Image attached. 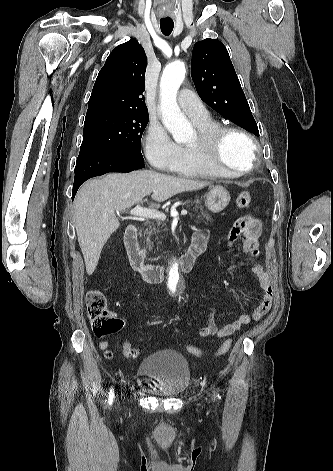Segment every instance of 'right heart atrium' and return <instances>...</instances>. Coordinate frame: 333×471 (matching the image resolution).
<instances>
[{
    "mask_svg": "<svg viewBox=\"0 0 333 471\" xmlns=\"http://www.w3.org/2000/svg\"><path fill=\"white\" fill-rule=\"evenodd\" d=\"M144 153L157 170L171 171L180 158V146L159 123H151L143 138Z\"/></svg>",
    "mask_w": 333,
    "mask_h": 471,
    "instance_id": "obj_1",
    "label": "right heart atrium"
}]
</instances>
